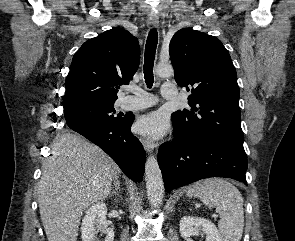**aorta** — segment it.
Segmentation results:
<instances>
[{
	"instance_id": "obj_1",
	"label": "aorta",
	"mask_w": 295,
	"mask_h": 241,
	"mask_svg": "<svg viewBox=\"0 0 295 241\" xmlns=\"http://www.w3.org/2000/svg\"><path fill=\"white\" fill-rule=\"evenodd\" d=\"M156 74L166 78L173 75L170 64H158ZM145 181L149 203L152 207H158L164 198V183L158 161L154 155H150L145 164Z\"/></svg>"
}]
</instances>
